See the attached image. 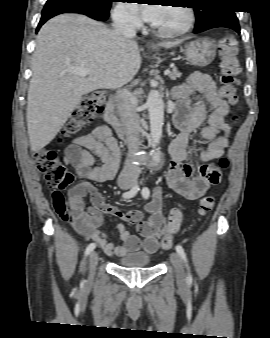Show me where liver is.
I'll return each mask as SVG.
<instances>
[{"instance_id":"obj_1","label":"liver","mask_w":270,"mask_h":338,"mask_svg":"<svg viewBox=\"0 0 270 338\" xmlns=\"http://www.w3.org/2000/svg\"><path fill=\"white\" fill-rule=\"evenodd\" d=\"M182 40L159 45L171 48ZM141 57L134 38L118 36L84 15L50 19L36 37L27 97L30 147L40 151L59 133L82 97L97 89H115L138 73ZM83 67L88 76L67 72Z\"/></svg>"}]
</instances>
